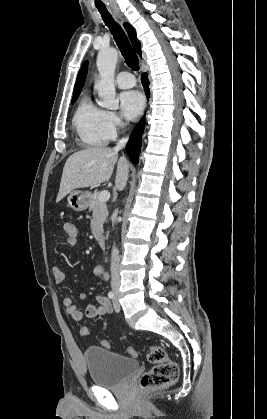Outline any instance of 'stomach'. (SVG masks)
I'll return each mask as SVG.
<instances>
[{
  "mask_svg": "<svg viewBox=\"0 0 267 419\" xmlns=\"http://www.w3.org/2000/svg\"><path fill=\"white\" fill-rule=\"evenodd\" d=\"M90 197L91 195L88 191L83 192L79 190H74L69 194L67 200H68L69 206L73 210L81 212V211H84L88 207Z\"/></svg>",
  "mask_w": 267,
  "mask_h": 419,
  "instance_id": "stomach-1",
  "label": "stomach"
}]
</instances>
